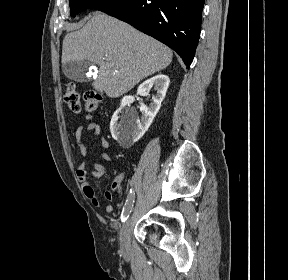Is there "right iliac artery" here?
Segmentation results:
<instances>
[{"mask_svg":"<svg viewBox=\"0 0 288 280\" xmlns=\"http://www.w3.org/2000/svg\"><path fill=\"white\" fill-rule=\"evenodd\" d=\"M134 198H135V192L133 189H130L128 197L126 199L124 208L121 213V221L125 222L127 218L129 217V214L132 211L133 203H134Z\"/></svg>","mask_w":288,"mask_h":280,"instance_id":"82829eb1","label":"right iliac artery"}]
</instances>
